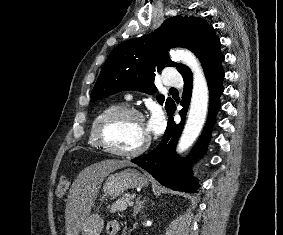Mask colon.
Wrapping results in <instances>:
<instances>
[{"instance_id":"5ec220e1","label":"colon","mask_w":283,"mask_h":235,"mask_svg":"<svg viewBox=\"0 0 283 235\" xmlns=\"http://www.w3.org/2000/svg\"><path fill=\"white\" fill-rule=\"evenodd\" d=\"M68 185H69L68 180L65 177L60 178L56 188V195L58 197L63 196L68 189Z\"/></svg>"}]
</instances>
